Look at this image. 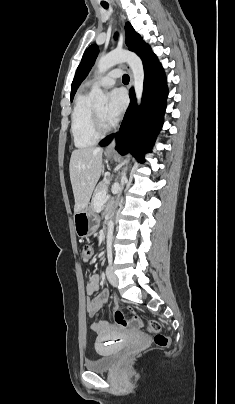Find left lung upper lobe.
<instances>
[{"label":"left lung upper lobe","instance_id":"1","mask_svg":"<svg viewBox=\"0 0 235 404\" xmlns=\"http://www.w3.org/2000/svg\"><path fill=\"white\" fill-rule=\"evenodd\" d=\"M126 44L130 51L135 52L141 59L152 53L149 45L146 44L140 35L135 32L130 23H126ZM117 35H115V38ZM98 46L93 44L91 45L84 53L83 58L81 60L80 65L77 68L75 77L71 86V101L73 100L74 94L80 85V83L85 79L88 75L92 65L95 62V59L98 54Z\"/></svg>","mask_w":235,"mask_h":404}]
</instances>
